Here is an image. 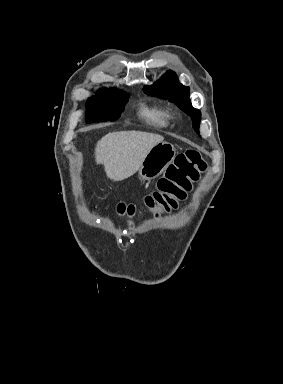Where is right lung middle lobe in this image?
<instances>
[{"instance_id":"obj_1","label":"right lung middle lobe","mask_w":283,"mask_h":384,"mask_svg":"<svg viewBox=\"0 0 283 384\" xmlns=\"http://www.w3.org/2000/svg\"><path fill=\"white\" fill-rule=\"evenodd\" d=\"M129 94L116 89H103L87 100L86 123L114 121L128 102Z\"/></svg>"}]
</instances>
